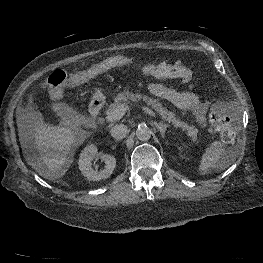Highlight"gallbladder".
Returning <instances> with one entry per match:
<instances>
[{
    "label": "gallbladder",
    "mask_w": 263,
    "mask_h": 263,
    "mask_svg": "<svg viewBox=\"0 0 263 263\" xmlns=\"http://www.w3.org/2000/svg\"><path fill=\"white\" fill-rule=\"evenodd\" d=\"M51 109L53 112L56 113L57 116L64 122V123H74L78 118L77 114H75L71 108L63 103V102H55L51 105Z\"/></svg>",
    "instance_id": "bac80fb5"
}]
</instances>
